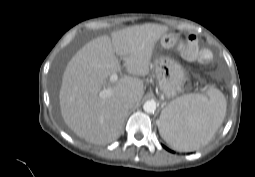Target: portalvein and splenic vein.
<instances>
[{"label":"portal vein and splenic vein","instance_id":"portal-vein-and-splenic-vein-1","mask_svg":"<svg viewBox=\"0 0 255 177\" xmlns=\"http://www.w3.org/2000/svg\"><path fill=\"white\" fill-rule=\"evenodd\" d=\"M118 80V75L116 73L112 74L110 76V82L114 83ZM113 93L112 88H107V89H103L102 91L99 92V97L101 98H107L109 96H111Z\"/></svg>","mask_w":255,"mask_h":177}]
</instances>
